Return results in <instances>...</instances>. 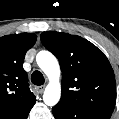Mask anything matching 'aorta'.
Returning <instances> with one entry per match:
<instances>
[{"instance_id":"obj_1","label":"aorta","mask_w":119,"mask_h":119,"mask_svg":"<svg viewBox=\"0 0 119 119\" xmlns=\"http://www.w3.org/2000/svg\"><path fill=\"white\" fill-rule=\"evenodd\" d=\"M36 61L41 70L49 79L46 86L43 101L48 106L56 105L61 97L60 67L56 57L49 51H40Z\"/></svg>"}]
</instances>
